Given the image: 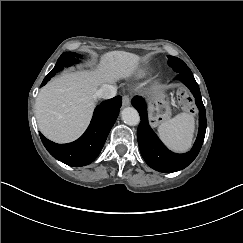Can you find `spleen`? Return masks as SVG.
<instances>
[{
    "instance_id": "spleen-1",
    "label": "spleen",
    "mask_w": 243,
    "mask_h": 243,
    "mask_svg": "<svg viewBox=\"0 0 243 243\" xmlns=\"http://www.w3.org/2000/svg\"><path fill=\"white\" fill-rule=\"evenodd\" d=\"M194 130V117L187 113L168 119L158 127L160 139L170 150L177 153L187 152L191 148Z\"/></svg>"
}]
</instances>
